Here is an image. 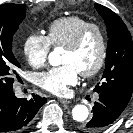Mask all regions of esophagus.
<instances>
[{
	"label": "esophagus",
	"instance_id": "obj_1",
	"mask_svg": "<svg viewBox=\"0 0 133 133\" xmlns=\"http://www.w3.org/2000/svg\"><path fill=\"white\" fill-rule=\"evenodd\" d=\"M58 100H59V102H61L62 104H70V103H71V101L68 100V99L59 98Z\"/></svg>",
	"mask_w": 133,
	"mask_h": 133
}]
</instances>
